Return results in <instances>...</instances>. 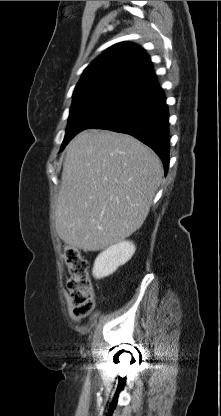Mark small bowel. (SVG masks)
Listing matches in <instances>:
<instances>
[{"label":"small bowel","instance_id":"c3829d8e","mask_svg":"<svg viewBox=\"0 0 221 416\" xmlns=\"http://www.w3.org/2000/svg\"><path fill=\"white\" fill-rule=\"evenodd\" d=\"M64 299L66 301L69 316L72 317L73 319H79V317L75 316L72 312L70 298H69V295L67 293H64Z\"/></svg>","mask_w":221,"mask_h":416}]
</instances>
